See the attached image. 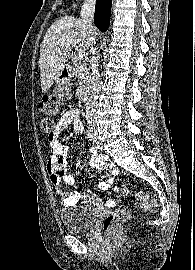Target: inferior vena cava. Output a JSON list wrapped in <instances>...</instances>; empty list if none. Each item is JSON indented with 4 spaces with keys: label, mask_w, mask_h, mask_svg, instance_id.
<instances>
[{
    "label": "inferior vena cava",
    "mask_w": 195,
    "mask_h": 270,
    "mask_svg": "<svg viewBox=\"0 0 195 270\" xmlns=\"http://www.w3.org/2000/svg\"><path fill=\"white\" fill-rule=\"evenodd\" d=\"M96 0H85L81 8V20L83 25L88 28L91 32L93 31V17L95 11ZM90 44V51L93 56L90 59L91 63V79H90V93L86 103V118L90 126V130L95 132V117L97 114V99L100 91V74L98 71V59L95 56L96 49L94 48L95 36L92 35Z\"/></svg>",
    "instance_id": "602c4592"
}]
</instances>
